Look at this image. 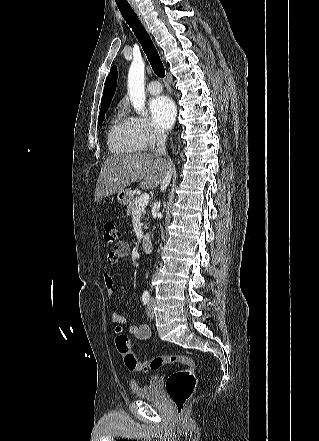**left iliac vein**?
<instances>
[{
	"mask_svg": "<svg viewBox=\"0 0 319 441\" xmlns=\"http://www.w3.org/2000/svg\"><path fill=\"white\" fill-rule=\"evenodd\" d=\"M153 304H154V300L150 299V301L148 303V307H147V316L151 319H153L155 316L154 310H153Z\"/></svg>",
	"mask_w": 319,
	"mask_h": 441,
	"instance_id": "obj_1",
	"label": "left iliac vein"
}]
</instances>
